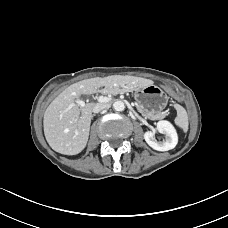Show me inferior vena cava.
I'll return each instance as SVG.
<instances>
[{"mask_svg": "<svg viewBox=\"0 0 228 228\" xmlns=\"http://www.w3.org/2000/svg\"><path fill=\"white\" fill-rule=\"evenodd\" d=\"M108 108H109V104H107V103H97L94 105L92 111H93V113H99Z\"/></svg>", "mask_w": 228, "mask_h": 228, "instance_id": "obj_1", "label": "inferior vena cava"}]
</instances>
